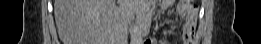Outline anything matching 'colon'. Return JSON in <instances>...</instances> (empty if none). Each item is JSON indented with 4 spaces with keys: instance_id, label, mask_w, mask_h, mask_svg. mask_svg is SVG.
<instances>
[{
    "instance_id": "colon-1",
    "label": "colon",
    "mask_w": 261,
    "mask_h": 44,
    "mask_svg": "<svg viewBox=\"0 0 261 44\" xmlns=\"http://www.w3.org/2000/svg\"><path fill=\"white\" fill-rule=\"evenodd\" d=\"M178 5L179 6H191V7H193L195 9V7L192 6L191 1H179Z\"/></svg>"
}]
</instances>
